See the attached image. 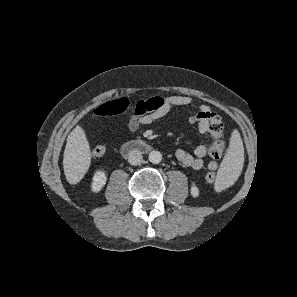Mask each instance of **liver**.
Listing matches in <instances>:
<instances>
[{
	"mask_svg": "<svg viewBox=\"0 0 297 297\" xmlns=\"http://www.w3.org/2000/svg\"><path fill=\"white\" fill-rule=\"evenodd\" d=\"M91 163L90 146L84 130L76 126L67 137L63 155V168L66 180L77 184L84 177Z\"/></svg>",
	"mask_w": 297,
	"mask_h": 297,
	"instance_id": "6515ba94",
	"label": "liver"
}]
</instances>
